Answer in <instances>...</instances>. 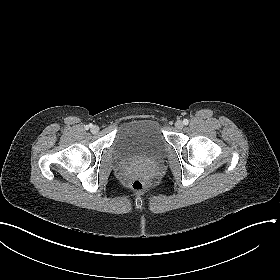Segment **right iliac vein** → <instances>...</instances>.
<instances>
[{
  "mask_svg": "<svg viewBox=\"0 0 280 280\" xmlns=\"http://www.w3.org/2000/svg\"><path fill=\"white\" fill-rule=\"evenodd\" d=\"M98 131H99V127L98 126L94 125V126L91 127V132L92 133H97Z\"/></svg>",
  "mask_w": 280,
  "mask_h": 280,
  "instance_id": "obj_1",
  "label": "right iliac vein"
}]
</instances>
